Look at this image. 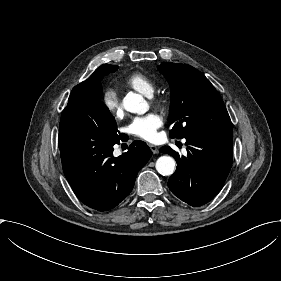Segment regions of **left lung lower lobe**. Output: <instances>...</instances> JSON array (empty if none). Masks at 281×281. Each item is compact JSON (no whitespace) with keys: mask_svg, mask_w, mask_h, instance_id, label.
I'll use <instances>...</instances> for the list:
<instances>
[{"mask_svg":"<svg viewBox=\"0 0 281 281\" xmlns=\"http://www.w3.org/2000/svg\"><path fill=\"white\" fill-rule=\"evenodd\" d=\"M187 157L170 147L160 152L173 156L178 164L169 178L172 193L191 206L209 202L223 187L232 165V132L208 133L185 137Z\"/></svg>","mask_w":281,"mask_h":281,"instance_id":"0a47b994","label":"left lung lower lobe"}]
</instances>
